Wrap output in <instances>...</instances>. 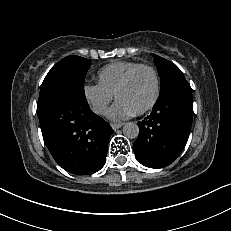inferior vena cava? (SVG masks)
Listing matches in <instances>:
<instances>
[{
  "mask_svg": "<svg viewBox=\"0 0 231 231\" xmlns=\"http://www.w3.org/2000/svg\"><path fill=\"white\" fill-rule=\"evenodd\" d=\"M93 109H94V112H95V113H100V114L103 113V112L105 111V107L102 106V105L96 106V107H94Z\"/></svg>",
  "mask_w": 231,
  "mask_h": 231,
  "instance_id": "inferior-vena-cava-1",
  "label": "inferior vena cava"
}]
</instances>
